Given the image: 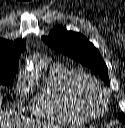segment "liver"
I'll use <instances>...</instances> for the list:
<instances>
[{
    "label": "liver",
    "instance_id": "liver-1",
    "mask_svg": "<svg viewBox=\"0 0 125 128\" xmlns=\"http://www.w3.org/2000/svg\"><path fill=\"white\" fill-rule=\"evenodd\" d=\"M1 105H2V97L0 96V109H1ZM9 125H11V119L9 118V116L6 113L0 111V128H6ZM35 127L53 128L49 124H41V123H37V125ZM55 128H58V127H55Z\"/></svg>",
    "mask_w": 125,
    "mask_h": 128
}]
</instances>
